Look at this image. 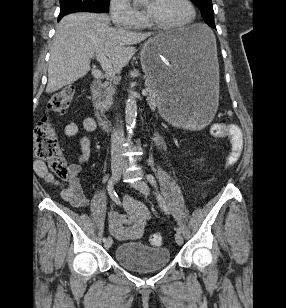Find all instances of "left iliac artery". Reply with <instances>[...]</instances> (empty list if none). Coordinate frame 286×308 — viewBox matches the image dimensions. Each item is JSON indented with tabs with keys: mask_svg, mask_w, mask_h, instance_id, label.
<instances>
[{
	"mask_svg": "<svg viewBox=\"0 0 286 308\" xmlns=\"http://www.w3.org/2000/svg\"><path fill=\"white\" fill-rule=\"evenodd\" d=\"M146 179H147V181H148L152 186H154L155 189L157 190V199H158V202H159L161 208L163 209V211H164L166 214H169V210H168V208H167V206H166V204H165V201H164L163 197L161 196V194L158 192L157 183H156L155 178H154L151 174H147V175H146ZM176 231H177L178 233H181V230H180L179 227L176 228Z\"/></svg>",
	"mask_w": 286,
	"mask_h": 308,
	"instance_id": "left-iliac-artery-1",
	"label": "left iliac artery"
}]
</instances>
